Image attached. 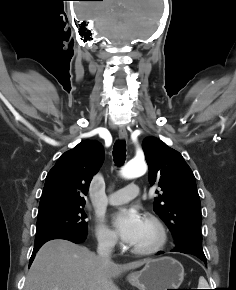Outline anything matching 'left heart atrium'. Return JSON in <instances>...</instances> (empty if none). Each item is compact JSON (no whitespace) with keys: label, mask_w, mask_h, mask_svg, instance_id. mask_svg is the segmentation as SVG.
Segmentation results:
<instances>
[{"label":"left heart atrium","mask_w":236,"mask_h":290,"mask_svg":"<svg viewBox=\"0 0 236 290\" xmlns=\"http://www.w3.org/2000/svg\"><path fill=\"white\" fill-rule=\"evenodd\" d=\"M112 224L120 238L132 245L143 226V219L134 209H121L112 219Z\"/></svg>","instance_id":"39dd6f15"}]
</instances>
